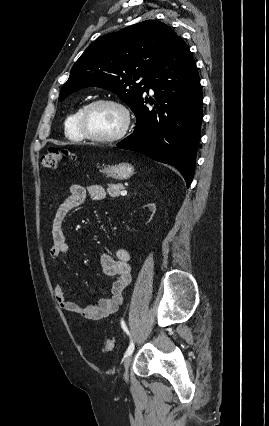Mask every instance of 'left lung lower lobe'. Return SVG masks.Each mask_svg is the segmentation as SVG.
<instances>
[{"instance_id":"left-lung-lower-lobe-1","label":"left lung lower lobe","mask_w":269,"mask_h":426,"mask_svg":"<svg viewBox=\"0 0 269 426\" xmlns=\"http://www.w3.org/2000/svg\"><path fill=\"white\" fill-rule=\"evenodd\" d=\"M149 88L155 91L154 108L150 110L144 98L132 110L135 130L117 147L176 167L189 187L201 135L203 96L195 60L181 37L152 71Z\"/></svg>"}]
</instances>
